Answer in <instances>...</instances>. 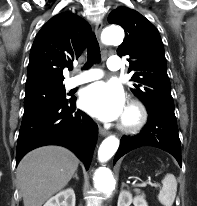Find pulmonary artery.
<instances>
[{
    "instance_id": "1",
    "label": "pulmonary artery",
    "mask_w": 197,
    "mask_h": 206,
    "mask_svg": "<svg viewBox=\"0 0 197 206\" xmlns=\"http://www.w3.org/2000/svg\"><path fill=\"white\" fill-rule=\"evenodd\" d=\"M107 67L111 71H118L121 68L120 58L110 57L107 62ZM102 76V72L98 69L86 70L81 75L72 77L67 80V87L74 88L80 84L87 83Z\"/></svg>"
}]
</instances>
